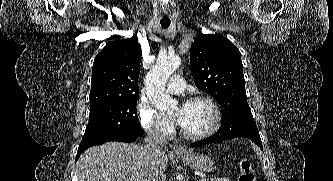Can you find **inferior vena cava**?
Instances as JSON below:
<instances>
[{"instance_id":"obj_1","label":"inferior vena cava","mask_w":333,"mask_h":181,"mask_svg":"<svg viewBox=\"0 0 333 181\" xmlns=\"http://www.w3.org/2000/svg\"><path fill=\"white\" fill-rule=\"evenodd\" d=\"M145 143L149 152V170L146 181H166L160 167V157L164 153L162 148L168 144L166 134L158 127L149 128Z\"/></svg>"}]
</instances>
